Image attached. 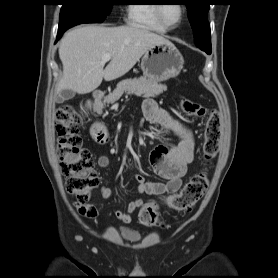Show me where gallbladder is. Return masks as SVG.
Here are the masks:
<instances>
[{
    "instance_id": "bac80fb5",
    "label": "gallbladder",
    "mask_w": 278,
    "mask_h": 278,
    "mask_svg": "<svg viewBox=\"0 0 278 278\" xmlns=\"http://www.w3.org/2000/svg\"><path fill=\"white\" fill-rule=\"evenodd\" d=\"M75 96V92L69 89H64L61 92L58 93L56 102L57 103H63L65 101H68L72 99Z\"/></svg>"
}]
</instances>
